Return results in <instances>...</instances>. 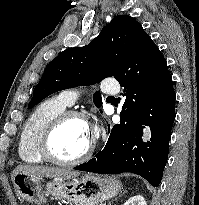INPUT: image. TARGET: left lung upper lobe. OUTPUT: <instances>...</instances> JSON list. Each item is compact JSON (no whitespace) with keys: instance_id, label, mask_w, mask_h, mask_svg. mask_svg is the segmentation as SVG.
Masks as SVG:
<instances>
[{"instance_id":"left-lung-upper-lobe-1","label":"left lung upper lobe","mask_w":199,"mask_h":205,"mask_svg":"<svg viewBox=\"0 0 199 205\" xmlns=\"http://www.w3.org/2000/svg\"><path fill=\"white\" fill-rule=\"evenodd\" d=\"M142 26L128 15H119L107 24L88 45L69 48L52 60L35 86L28 108L34 107L50 94L80 85L99 83L117 77L119 70L135 45ZM102 105L100 94L93 97Z\"/></svg>"}]
</instances>
